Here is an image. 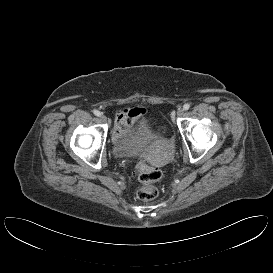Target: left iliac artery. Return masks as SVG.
Listing matches in <instances>:
<instances>
[{
    "instance_id": "obj_1",
    "label": "left iliac artery",
    "mask_w": 273,
    "mask_h": 273,
    "mask_svg": "<svg viewBox=\"0 0 273 273\" xmlns=\"http://www.w3.org/2000/svg\"><path fill=\"white\" fill-rule=\"evenodd\" d=\"M189 108H190V104H188V103L184 104V106H183L184 110H188Z\"/></svg>"
}]
</instances>
